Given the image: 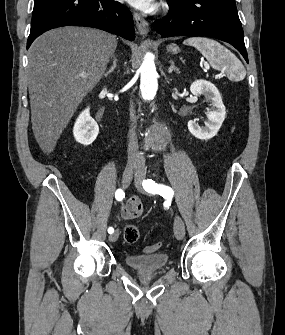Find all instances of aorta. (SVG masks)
I'll use <instances>...</instances> for the list:
<instances>
[{
    "label": "aorta",
    "instance_id": "762f6f07",
    "mask_svg": "<svg viewBox=\"0 0 285 335\" xmlns=\"http://www.w3.org/2000/svg\"><path fill=\"white\" fill-rule=\"evenodd\" d=\"M141 74L140 90L138 97H142L144 102H161V95H158V74L154 64V56L147 52L140 68ZM144 136L149 137L150 146L153 152H160L163 141L171 136L170 130H165L164 125H151L150 130L144 131Z\"/></svg>",
    "mask_w": 285,
    "mask_h": 335
}]
</instances>
